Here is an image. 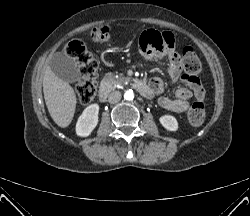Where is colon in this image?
I'll return each instance as SVG.
<instances>
[{
	"label": "colon",
	"instance_id": "1",
	"mask_svg": "<svg viewBox=\"0 0 250 216\" xmlns=\"http://www.w3.org/2000/svg\"><path fill=\"white\" fill-rule=\"evenodd\" d=\"M90 36L96 43H105L110 39L111 32L107 27H101L93 30ZM65 52L79 66L81 79L76 88L77 96L80 104L87 105L94 99L97 91V60L85 44L80 41L68 43ZM178 58L184 74L197 77L201 72L202 64L192 48H184ZM205 116L204 102L202 100L194 101L188 112L189 122L195 126L201 125L205 120Z\"/></svg>",
	"mask_w": 250,
	"mask_h": 216
}]
</instances>
